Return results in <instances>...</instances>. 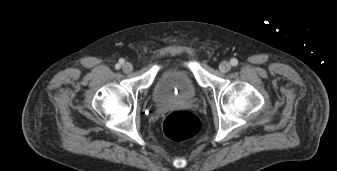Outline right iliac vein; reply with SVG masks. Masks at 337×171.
Masks as SVG:
<instances>
[{
  "instance_id": "obj_1",
  "label": "right iliac vein",
  "mask_w": 337,
  "mask_h": 171,
  "mask_svg": "<svg viewBox=\"0 0 337 171\" xmlns=\"http://www.w3.org/2000/svg\"><path fill=\"white\" fill-rule=\"evenodd\" d=\"M122 70H123L125 73H129V72H131V71L133 70V66H132L131 63L126 62V63L123 64Z\"/></svg>"
}]
</instances>
